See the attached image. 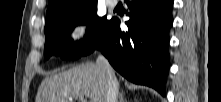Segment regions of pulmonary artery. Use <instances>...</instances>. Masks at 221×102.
Instances as JSON below:
<instances>
[{
	"label": "pulmonary artery",
	"instance_id": "e3ab8cb5",
	"mask_svg": "<svg viewBox=\"0 0 221 102\" xmlns=\"http://www.w3.org/2000/svg\"><path fill=\"white\" fill-rule=\"evenodd\" d=\"M106 3H107V5H108L109 7H112V8H113V7L116 6L117 0H107Z\"/></svg>",
	"mask_w": 221,
	"mask_h": 102
}]
</instances>
